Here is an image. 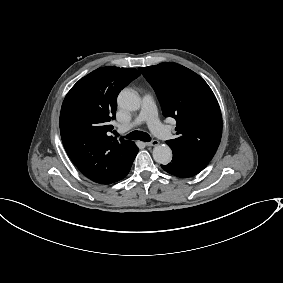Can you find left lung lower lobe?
<instances>
[{
	"mask_svg": "<svg viewBox=\"0 0 283 283\" xmlns=\"http://www.w3.org/2000/svg\"><path fill=\"white\" fill-rule=\"evenodd\" d=\"M173 150V159L167 165H161V167L168 173L181 177L188 178L198 174L209 163L210 160L200 158L181 150Z\"/></svg>",
	"mask_w": 283,
	"mask_h": 283,
	"instance_id": "0a47b994",
	"label": "left lung lower lobe"
}]
</instances>
